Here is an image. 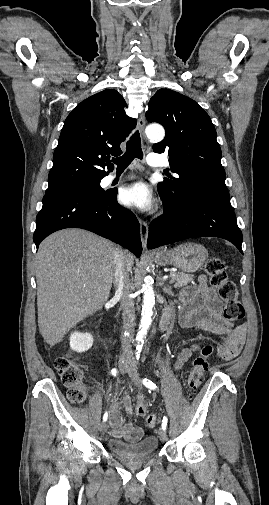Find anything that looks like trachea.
I'll return each mask as SVG.
<instances>
[{
    "mask_svg": "<svg viewBox=\"0 0 269 505\" xmlns=\"http://www.w3.org/2000/svg\"><path fill=\"white\" fill-rule=\"evenodd\" d=\"M134 158L142 159L141 138L136 131L126 143V152L118 158H113L112 162L117 165V170H125Z\"/></svg>",
    "mask_w": 269,
    "mask_h": 505,
    "instance_id": "1",
    "label": "trachea"
}]
</instances>
